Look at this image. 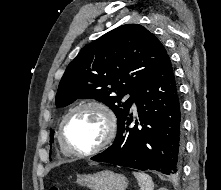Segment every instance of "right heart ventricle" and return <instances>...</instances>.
I'll return each instance as SVG.
<instances>
[{"instance_id":"1","label":"right heart ventricle","mask_w":221,"mask_h":190,"mask_svg":"<svg viewBox=\"0 0 221 190\" xmlns=\"http://www.w3.org/2000/svg\"><path fill=\"white\" fill-rule=\"evenodd\" d=\"M60 150H61V152H62L64 155H69L68 153H66V152L64 151V149L62 148L61 145H60Z\"/></svg>"}]
</instances>
